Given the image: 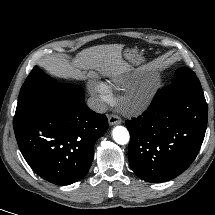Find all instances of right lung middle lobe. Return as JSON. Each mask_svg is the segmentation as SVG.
I'll return each instance as SVG.
<instances>
[{"label": "right lung middle lobe", "mask_w": 215, "mask_h": 215, "mask_svg": "<svg viewBox=\"0 0 215 215\" xmlns=\"http://www.w3.org/2000/svg\"><path fill=\"white\" fill-rule=\"evenodd\" d=\"M57 85V82L42 72L39 67L33 68L20 90L14 116V130L33 113L40 99Z\"/></svg>", "instance_id": "1"}]
</instances>
